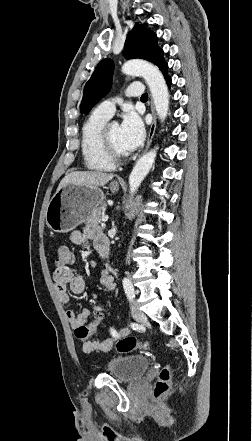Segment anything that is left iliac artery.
<instances>
[{"label":"left iliac artery","mask_w":252,"mask_h":441,"mask_svg":"<svg viewBox=\"0 0 252 441\" xmlns=\"http://www.w3.org/2000/svg\"><path fill=\"white\" fill-rule=\"evenodd\" d=\"M123 287L125 290V293L128 297L129 300H132L135 295H134V288L133 285L131 283V281L129 280V278H123ZM110 333L113 335V339L115 341H118L119 339H122V336H120L119 330L114 326L111 325L109 327Z\"/></svg>","instance_id":"left-iliac-artery-1"}]
</instances>
